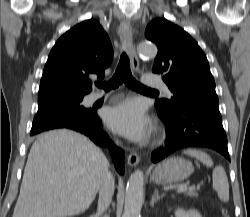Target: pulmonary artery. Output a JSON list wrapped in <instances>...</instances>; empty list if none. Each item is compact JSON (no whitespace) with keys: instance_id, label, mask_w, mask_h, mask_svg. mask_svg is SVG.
<instances>
[{"instance_id":"e3ab8cb5","label":"pulmonary artery","mask_w":250,"mask_h":217,"mask_svg":"<svg viewBox=\"0 0 250 217\" xmlns=\"http://www.w3.org/2000/svg\"><path fill=\"white\" fill-rule=\"evenodd\" d=\"M143 83L150 87V88H158V89H161L163 90L167 95H171V91L170 89L168 88V86L166 85L165 82L159 80V79H155V78H152L151 75H145L143 77ZM104 95L101 94V93H96V94H92L89 96V102L90 103H93V102H96L97 100L101 99Z\"/></svg>"}]
</instances>
